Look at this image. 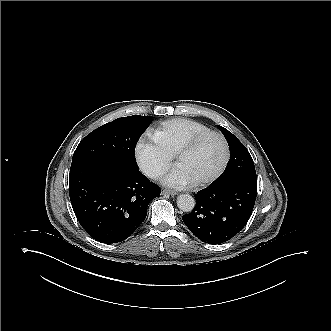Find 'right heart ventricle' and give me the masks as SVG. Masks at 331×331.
I'll return each mask as SVG.
<instances>
[{"instance_id": "right-heart-ventricle-1", "label": "right heart ventricle", "mask_w": 331, "mask_h": 331, "mask_svg": "<svg viewBox=\"0 0 331 331\" xmlns=\"http://www.w3.org/2000/svg\"><path fill=\"white\" fill-rule=\"evenodd\" d=\"M202 122L190 118H173L165 121L155 132L154 141L166 154L172 155L193 137L208 131Z\"/></svg>"}]
</instances>
